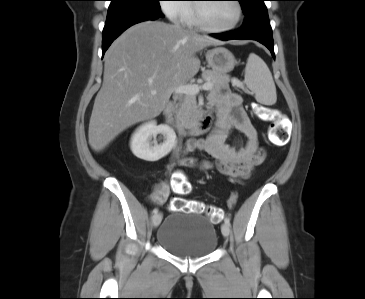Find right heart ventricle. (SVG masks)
<instances>
[{"instance_id": "1", "label": "right heart ventricle", "mask_w": 365, "mask_h": 299, "mask_svg": "<svg viewBox=\"0 0 365 299\" xmlns=\"http://www.w3.org/2000/svg\"><path fill=\"white\" fill-rule=\"evenodd\" d=\"M183 22L185 25H187L189 27L196 26V24L194 22L193 7L190 4L188 5V9H187L186 15L183 19Z\"/></svg>"}]
</instances>
